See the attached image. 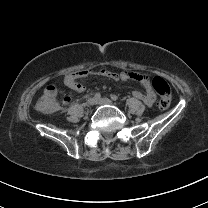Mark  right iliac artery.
<instances>
[{
    "mask_svg": "<svg viewBox=\"0 0 208 208\" xmlns=\"http://www.w3.org/2000/svg\"><path fill=\"white\" fill-rule=\"evenodd\" d=\"M94 98L97 100V99H100L101 98V94L100 93H96L95 95H94Z\"/></svg>",
    "mask_w": 208,
    "mask_h": 208,
    "instance_id": "1",
    "label": "right iliac artery"
}]
</instances>
